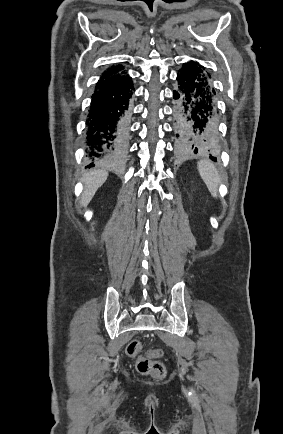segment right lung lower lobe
<instances>
[{"label": "right lung lower lobe", "mask_w": 283, "mask_h": 434, "mask_svg": "<svg viewBox=\"0 0 283 434\" xmlns=\"http://www.w3.org/2000/svg\"><path fill=\"white\" fill-rule=\"evenodd\" d=\"M132 79L98 89L86 120L88 156L94 162H114L122 158L127 140L128 104L133 90Z\"/></svg>", "instance_id": "1"}]
</instances>
